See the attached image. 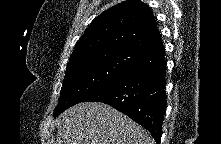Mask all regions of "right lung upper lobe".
I'll return each mask as SVG.
<instances>
[{"mask_svg": "<svg viewBox=\"0 0 221 144\" xmlns=\"http://www.w3.org/2000/svg\"><path fill=\"white\" fill-rule=\"evenodd\" d=\"M161 44L152 11L139 0H127L107 9L91 22L77 41L68 64L111 50L143 56Z\"/></svg>", "mask_w": 221, "mask_h": 144, "instance_id": "1", "label": "right lung upper lobe"}]
</instances>
